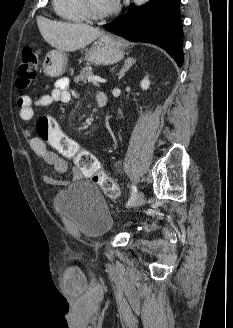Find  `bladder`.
Returning a JSON list of instances; mask_svg holds the SVG:
<instances>
[{
    "label": "bladder",
    "instance_id": "31cf9c89",
    "mask_svg": "<svg viewBox=\"0 0 233 328\" xmlns=\"http://www.w3.org/2000/svg\"><path fill=\"white\" fill-rule=\"evenodd\" d=\"M54 205L86 237H100L113 225L102 193L89 181L73 183L60 191L54 199Z\"/></svg>",
    "mask_w": 233,
    "mask_h": 328
}]
</instances>
